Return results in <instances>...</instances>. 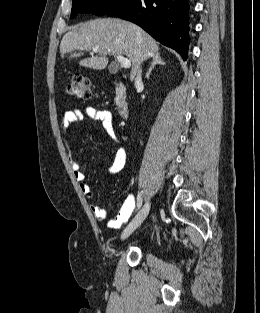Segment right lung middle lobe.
<instances>
[{
    "label": "right lung middle lobe",
    "instance_id": "obj_1",
    "mask_svg": "<svg viewBox=\"0 0 260 313\" xmlns=\"http://www.w3.org/2000/svg\"><path fill=\"white\" fill-rule=\"evenodd\" d=\"M126 0H73L71 18L79 13L105 15L114 10Z\"/></svg>",
    "mask_w": 260,
    "mask_h": 313
}]
</instances>
